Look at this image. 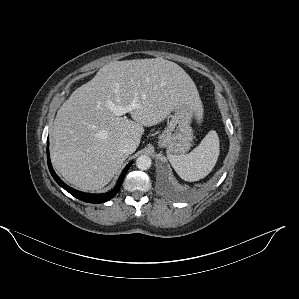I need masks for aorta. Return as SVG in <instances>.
I'll return each mask as SVG.
<instances>
[{
  "label": "aorta",
  "mask_w": 299,
  "mask_h": 299,
  "mask_svg": "<svg viewBox=\"0 0 299 299\" xmlns=\"http://www.w3.org/2000/svg\"><path fill=\"white\" fill-rule=\"evenodd\" d=\"M151 158L147 155H141L136 159V166L140 170H147L151 167Z\"/></svg>",
  "instance_id": "1"
}]
</instances>
